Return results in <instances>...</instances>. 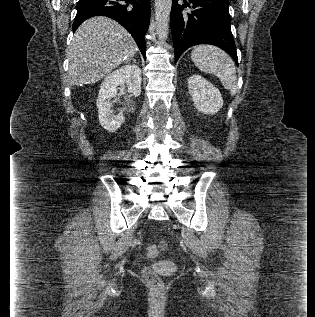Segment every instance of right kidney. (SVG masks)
<instances>
[{
  "label": "right kidney",
  "mask_w": 315,
  "mask_h": 317,
  "mask_svg": "<svg viewBox=\"0 0 315 317\" xmlns=\"http://www.w3.org/2000/svg\"><path fill=\"white\" fill-rule=\"evenodd\" d=\"M137 97L141 94V69L136 65H124L110 73L101 84L97 99L100 125L108 132H115L124 123L123 113L113 114L112 99L117 100V90L124 89Z\"/></svg>",
  "instance_id": "obj_1"
}]
</instances>
